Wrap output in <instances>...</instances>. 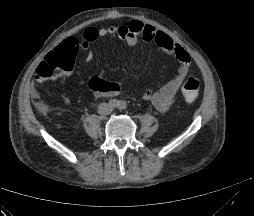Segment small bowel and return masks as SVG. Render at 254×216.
Segmentation results:
<instances>
[{
  "mask_svg": "<svg viewBox=\"0 0 254 216\" xmlns=\"http://www.w3.org/2000/svg\"><path fill=\"white\" fill-rule=\"evenodd\" d=\"M106 37L119 38L131 47H134L139 40L154 42L162 48L167 55L178 61V70L170 81H168L159 90L147 91L144 93V97L149 100L157 110L161 112L169 110L174 104L180 89L188 78L191 58L182 46L176 43L170 36L155 29L154 27L144 25L143 23L135 20L121 26H109L106 28L89 27L85 30L84 41L79 42L74 37H68L63 40L61 44L54 49V51L67 49L72 52H77L78 46V50L86 49L90 42ZM90 59L91 54L88 53L87 60ZM69 74L70 73L68 72L67 75ZM37 81L42 82L44 79H41L37 75ZM90 89L97 96H113L125 92L124 88H122L119 84L107 82L97 77L90 80Z\"/></svg>",
  "mask_w": 254,
  "mask_h": 216,
  "instance_id": "c3829d8e",
  "label": "small bowel"
}]
</instances>
